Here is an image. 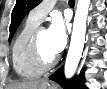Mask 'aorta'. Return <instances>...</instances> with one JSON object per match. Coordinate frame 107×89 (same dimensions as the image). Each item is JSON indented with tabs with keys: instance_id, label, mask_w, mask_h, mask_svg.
I'll use <instances>...</instances> for the list:
<instances>
[{
	"instance_id": "aorta-1",
	"label": "aorta",
	"mask_w": 107,
	"mask_h": 89,
	"mask_svg": "<svg viewBox=\"0 0 107 89\" xmlns=\"http://www.w3.org/2000/svg\"><path fill=\"white\" fill-rule=\"evenodd\" d=\"M89 5L90 0H78L73 22L70 47L64 66V74L66 78H71L74 75L82 55L85 43Z\"/></svg>"
}]
</instances>
